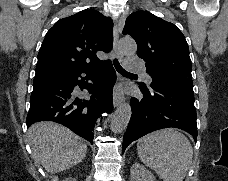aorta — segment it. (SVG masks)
I'll return each mask as SVG.
<instances>
[{"mask_svg":"<svg viewBox=\"0 0 228 181\" xmlns=\"http://www.w3.org/2000/svg\"><path fill=\"white\" fill-rule=\"evenodd\" d=\"M137 50V45L132 38H123L119 43V51L122 54L131 55L135 54ZM131 106L129 103H124L120 105L115 114L113 115L111 121V129L113 132H122L128 126L131 117Z\"/></svg>","mask_w":228,"mask_h":181,"instance_id":"obj_1","label":"aorta"}]
</instances>
